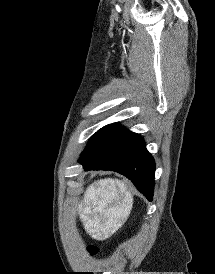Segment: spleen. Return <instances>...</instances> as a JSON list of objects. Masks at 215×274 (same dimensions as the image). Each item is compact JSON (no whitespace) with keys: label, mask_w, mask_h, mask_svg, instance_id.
Masks as SVG:
<instances>
[{"label":"spleen","mask_w":215,"mask_h":274,"mask_svg":"<svg viewBox=\"0 0 215 274\" xmlns=\"http://www.w3.org/2000/svg\"><path fill=\"white\" fill-rule=\"evenodd\" d=\"M86 198L92 208V215L85 225L87 231L98 238L107 234L114 219L127 215L133 203V196L126 183L112 179L101 180L89 186Z\"/></svg>","instance_id":"3e777b00"}]
</instances>
